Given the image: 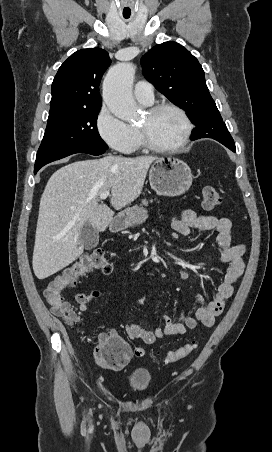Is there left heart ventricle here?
Wrapping results in <instances>:
<instances>
[{"instance_id": "obj_1", "label": "left heart ventricle", "mask_w": 272, "mask_h": 452, "mask_svg": "<svg viewBox=\"0 0 272 452\" xmlns=\"http://www.w3.org/2000/svg\"><path fill=\"white\" fill-rule=\"evenodd\" d=\"M149 139L158 145H172L178 141L183 132V122L178 114L162 110L156 114H146L139 123Z\"/></svg>"}]
</instances>
